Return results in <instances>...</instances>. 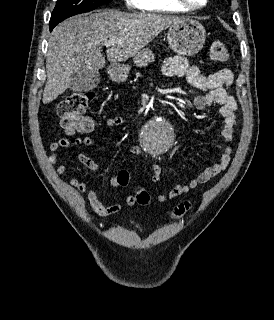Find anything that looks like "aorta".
Wrapping results in <instances>:
<instances>
[{"instance_id":"1","label":"aorta","mask_w":274,"mask_h":320,"mask_svg":"<svg viewBox=\"0 0 274 320\" xmlns=\"http://www.w3.org/2000/svg\"><path fill=\"white\" fill-rule=\"evenodd\" d=\"M145 150L152 156L167 152L174 143L172 127L163 120H156L146 127L143 133Z\"/></svg>"}]
</instances>
